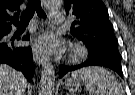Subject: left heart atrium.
<instances>
[{
    "mask_svg": "<svg viewBox=\"0 0 135 95\" xmlns=\"http://www.w3.org/2000/svg\"><path fill=\"white\" fill-rule=\"evenodd\" d=\"M34 48L42 54L58 53L63 50V43L54 35L45 33L37 39Z\"/></svg>",
    "mask_w": 135,
    "mask_h": 95,
    "instance_id": "39dd6f15",
    "label": "left heart atrium"
}]
</instances>
